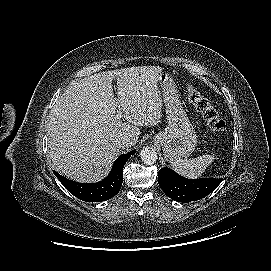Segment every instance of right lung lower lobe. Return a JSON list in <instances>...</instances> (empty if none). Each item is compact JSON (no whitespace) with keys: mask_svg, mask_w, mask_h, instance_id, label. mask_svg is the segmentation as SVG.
Masks as SVG:
<instances>
[{"mask_svg":"<svg viewBox=\"0 0 271 271\" xmlns=\"http://www.w3.org/2000/svg\"><path fill=\"white\" fill-rule=\"evenodd\" d=\"M136 150L120 155L114 162L109 175L97 183H79L69 180L53 171L64 187L75 197L86 202L105 201L115 196L122 186L123 167Z\"/></svg>","mask_w":271,"mask_h":271,"instance_id":"right-lung-lower-lobe-1","label":"right lung lower lobe"}]
</instances>
